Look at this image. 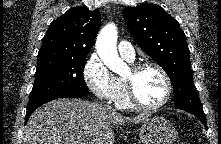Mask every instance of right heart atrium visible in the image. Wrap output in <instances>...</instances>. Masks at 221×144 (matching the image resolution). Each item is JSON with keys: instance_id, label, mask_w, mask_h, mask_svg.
Instances as JSON below:
<instances>
[{"instance_id": "obj_1", "label": "right heart atrium", "mask_w": 221, "mask_h": 144, "mask_svg": "<svg viewBox=\"0 0 221 144\" xmlns=\"http://www.w3.org/2000/svg\"><path fill=\"white\" fill-rule=\"evenodd\" d=\"M83 78L89 90L100 100L115 101L120 87L116 77L97 54H92L83 68Z\"/></svg>"}]
</instances>
